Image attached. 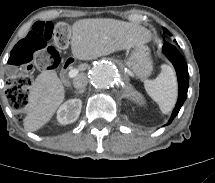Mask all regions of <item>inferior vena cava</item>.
<instances>
[{
    "label": "inferior vena cava",
    "instance_id": "602c4592",
    "mask_svg": "<svg viewBox=\"0 0 215 183\" xmlns=\"http://www.w3.org/2000/svg\"><path fill=\"white\" fill-rule=\"evenodd\" d=\"M87 83H88V78L85 74H80L73 81L74 87L79 90L85 88Z\"/></svg>",
    "mask_w": 215,
    "mask_h": 183
}]
</instances>
